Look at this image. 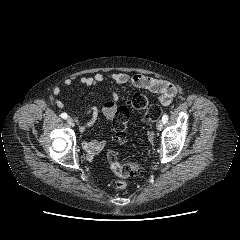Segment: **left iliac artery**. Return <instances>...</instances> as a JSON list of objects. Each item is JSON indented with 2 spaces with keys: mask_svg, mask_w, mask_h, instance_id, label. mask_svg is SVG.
Masks as SVG:
<instances>
[{
  "mask_svg": "<svg viewBox=\"0 0 240 240\" xmlns=\"http://www.w3.org/2000/svg\"><path fill=\"white\" fill-rule=\"evenodd\" d=\"M162 121H163V123H166L168 121V115L167 114L163 115Z\"/></svg>",
  "mask_w": 240,
  "mask_h": 240,
  "instance_id": "obj_1",
  "label": "left iliac artery"
}]
</instances>
